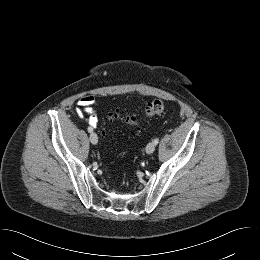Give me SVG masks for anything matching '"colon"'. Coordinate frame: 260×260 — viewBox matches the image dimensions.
<instances>
[{
    "mask_svg": "<svg viewBox=\"0 0 260 260\" xmlns=\"http://www.w3.org/2000/svg\"><path fill=\"white\" fill-rule=\"evenodd\" d=\"M164 111V103L160 99H153L150 101L145 110L144 115L146 117H153L162 114ZM107 118L109 120H119L128 125L135 126L138 124V117L134 115H126L121 113L119 110H113L107 113Z\"/></svg>",
    "mask_w": 260,
    "mask_h": 260,
    "instance_id": "colon-1",
    "label": "colon"
}]
</instances>
